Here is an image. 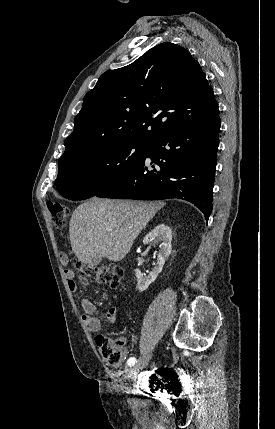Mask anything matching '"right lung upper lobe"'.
Listing matches in <instances>:
<instances>
[{
  "instance_id": "right-lung-upper-lobe-1",
  "label": "right lung upper lobe",
  "mask_w": 275,
  "mask_h": 429,
  "mask_svg": "<svg viewBox=\"0 0 275 429\" xmlns=\"http://www.w3.org/2000/svg\"><path fill=\"white\" fill-rule=\"evenodd\" d=\"M218 113L199 63L188 50L164 42L130 65L100 76L84 97L58 164L119 143L148 144Z\"/></svg>"
}]
</instances>
